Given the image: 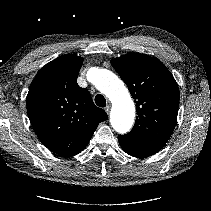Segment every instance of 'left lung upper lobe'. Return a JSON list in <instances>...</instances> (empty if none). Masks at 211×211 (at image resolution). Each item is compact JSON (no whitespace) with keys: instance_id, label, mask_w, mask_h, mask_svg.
Here are the masks:
<instances>
[{"instance_id":"obj_1","label":"left lung upper lobe","mask_w":211,"mask_h":211,"mask_svg":"<svg viewBox=\"0 0 211 211\" xmlns=\"http://www.w3.org/2000/svg\"><path fill=\"white\" fill-rule=\"evenodd\" d=\"M136 103L138 116L126 136L168 141L175 128L178 85L163 63L148 55L129 53L111 60Z\"/></svg>"}]
</instances>
